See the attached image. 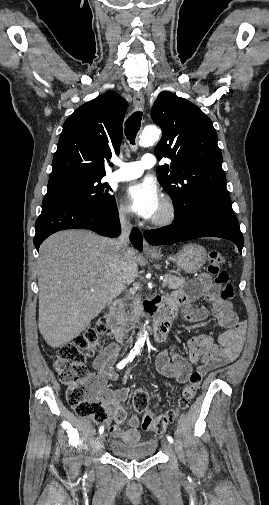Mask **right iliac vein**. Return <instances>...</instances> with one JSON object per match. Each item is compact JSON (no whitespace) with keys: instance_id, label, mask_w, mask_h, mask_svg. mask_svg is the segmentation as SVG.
Returning a JSON list of instances; mask_svg holds the SVG:
<instances>
[{"instance_id":"obj_1","label":"right iliac vein","mask_w":269,"mask_h":505,"mask_svg":"<svg viewBox=\"0 0 269 505\" xmlns=\"http://www.w3.org/2000/svg\"><path fill=\"white\" fill-rule=\"evenodd\" d=\"M104 441H105L104 434H100V436L97 439L96 450H99L103 447Z\"/></svg>"}]
</instances>
